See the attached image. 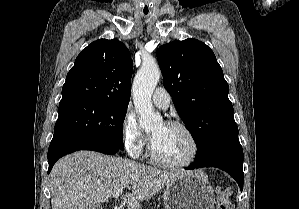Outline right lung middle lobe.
Instances as JSON below:
<instances>
[{
    "label": "right lung middle lobe",
    "mask_w": 299,
    "mask_h": 209,
    "mask_svg": "<svg viewBox=\"0 0 299 209\" xmlns=\"http://www.w3.org/2000/svg\"><path fill=\"white\" fill-rule=\"evenodd\" d=\"M127 107L96 102L59 104L54 133L102 139L123 150V122Z\"/></svg>",
    "instance_id": "obj_1"
}]
</instances>
